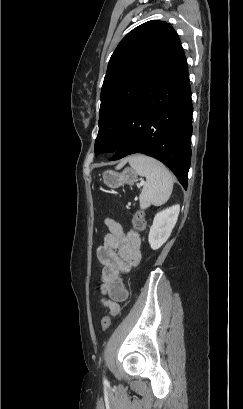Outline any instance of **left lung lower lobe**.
Listing matches in <instances>:
<instances>
[{
  "label": "left lung lower lobe",
  "instance_id": "0a47b994",
  "mask_svg": "<svg viewBox=\"0 0 243 409\" xmlns=\"http://www.w3.org/2000/svg\"><path fill=\"white\" fill-rule=\"evenodd\" d=\"M192 112L187 60L180 44L148 83L109 160L146 154L167 165L186 189Z\"/></svg>",
  "mask_w": 243,
  "mask_h": 409
}]
</instances>
